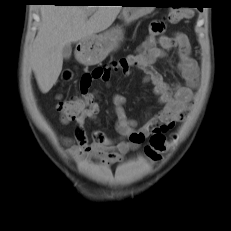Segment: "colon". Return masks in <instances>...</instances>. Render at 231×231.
I'll return each mask as SVG.
<instances>
[{
	"instance_id": "1",
	"label": "colon",
	"mask_w": 231,
	"mask_h": 231,
	"mask_svg": "<svg viewBox=\"0 0 231 231\" xmlns=\"http://www.w3.org/2000/svg\"><path fill=\"white\" fill-rule=\"evenodd\" d=\"M191 16L188 9H173L169 12L168 19L172 23H178ZM91 97L82 94L69 100H62L57 104V109L64 122L75 120L90 105ZM169 141L163 133H154L151 135L148 145L145 147V154L151 160H159L162 154L167 150Z\"/></svg>"
}]
</instances>
